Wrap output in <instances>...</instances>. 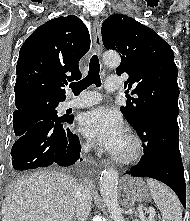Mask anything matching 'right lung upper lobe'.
Here are the masks:
<instances>
[{"mask_svg":"<svg viewBox=\"0 0 190 221\" xmlns=\"http://www.w3.org/2000/svg\"><path fill=\"white\" fill-rule=\"evenodd\" d=\"M89 48L88 29L77 16H61L38 27L19 52L13 114L64 101L63 87L81 78L78 63Z\"/></svg>","mask_w":190,"mask_h":221,"instance_id":"cb5924a9","label":"right lung upper lobe"}]
</instances>
